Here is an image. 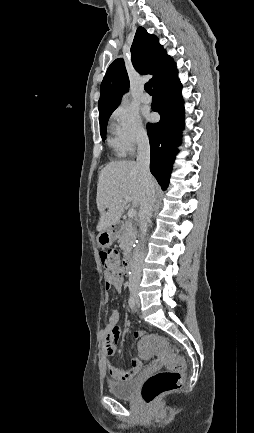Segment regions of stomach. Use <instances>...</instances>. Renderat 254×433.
Returning a JSON list of instances; mask_svg holds the SVG:
<instances>
[{
  "label": "stomach",
  "mask_w": 254,
  "mask_h": 433,
  "mask_svg": "<svg viewBox=\"0 0 254 433\" xmlns=\"http://www.w3.org/2000/svg\"><path fill=\"white\" fill-rule=\"evenodd\" d=\"M116 238V230L110 227L107 230L99 233V235L97 236V244L101 248H107L113 244Z\"/></svg>",
  "instance_id": "0dacf381"
}]
</instances>
